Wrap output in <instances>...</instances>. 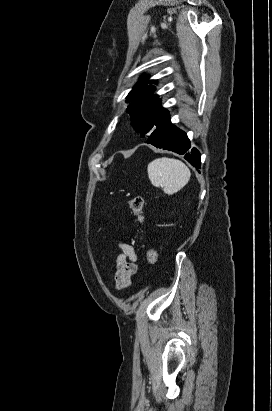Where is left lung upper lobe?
Returning <instances> with one entry per match:
<instances>
[{
	"instance_id": "5c2ea615",
	"label": "left lung upper lobe",
	"mask_w": 272,
	"mask_h": 411,
	"mask_svg": "<svg viewBox=\"0 0 272 411\" xmlns=\"http://www.w3.org/2000/svg\"><path fill=\"white\" fill-rule=\"evenodd\" d=\"M140 79L146 80L144 77ZM151 83L156 81L138 82L127 96V102H132L127 108L132 119L131 125L141 133V137H148L170 120L168 111L160 105L158 95H153L155 88L148 85Z\"/></svg>"
}]
</instances>
